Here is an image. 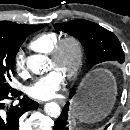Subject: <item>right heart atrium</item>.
Masks as SVG:
<instances>
[{"mask_svg":"<svg viewBox=\"0 0 130 130\" xmlns=\"http://www.w3.org/2000/svg\"><path fill=\"white\" fill-rule=\"evenodd\" d=\"M14 66L19 74L25 75L27 73L25 54L21 49L14 56Z\"/></svg>","mask_w":130,"mask_h":130,"instance_id":"right-heart-atrium-1","label":"right heart atrium"}]
</instances>
